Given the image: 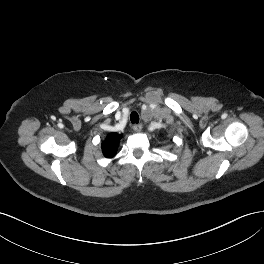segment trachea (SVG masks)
<instances>
[{
    "label": "trachea",
    "mask_w": 264,
    "mask_h": 264,
    "mask_svg": "<svg viewBox=\"0 0 264 264\" xmlns=\"http://www.w3.org/2000/svg\"><path fill=\"white\" fill-rule=\"evenodd\" d=\"M130 120L133 124H138L139 122V115L137 112H132L131 115H130Z\"/></svg>",
    "instance_id": "trachea-1"
}]
</instances>
